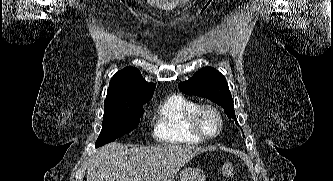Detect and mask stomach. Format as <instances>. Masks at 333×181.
Instances as JSON below:
<instances>
[{
  "mask_svg": "<svg viewBox=\"0 0 333 181\" xmlns=\"http://www.w3.org/2000/svg\"><path fill=\"white\" fill-rule=\"evenodd\" d=\"M180 181H205V174L199 167L188 166L180 172Z\"/></svg>",
  "mask_w": 333,
  "mask_h": 181,
  "instance_id": "0dacf381",
  "label": "stomach"
}]
</instances>
